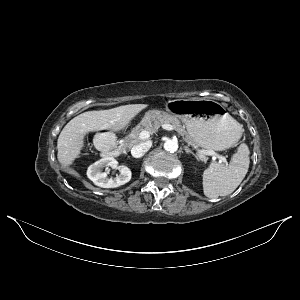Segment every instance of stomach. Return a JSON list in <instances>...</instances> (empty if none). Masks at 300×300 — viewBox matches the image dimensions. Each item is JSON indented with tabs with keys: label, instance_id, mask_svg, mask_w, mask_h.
<instances>
[{
	"label": "stomach",
	"instance_id": "obj_1",
	"mask_svg": "<svg viewBox=\"0 0 300 300\" xmlns=\"http://www.w3.org/2000/svg\"><path fill=\"white\" fill-rule=\"evenodd\" d=\"M166 108L184 122L192 140L203 148L222 151L232 147L241 136L237 121L216 101L173 100ZM159 112L149 111L146 116L156 117Z\"/></svg>",
	"mask_w": 300,
	"mask_h": 300
}]
</instances>
